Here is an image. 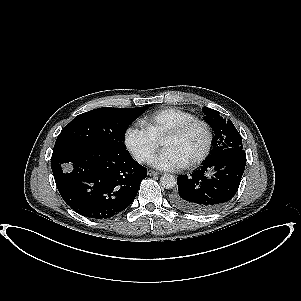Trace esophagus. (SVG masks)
<instances>
[{"label": "esophagus", "instance_id": "34e87169", "mask_svg": "<svg viewBox=\"0 0 301 301\" xmlns=\"http://www.w3.org/2000/svg\"><path fill=\"white\" fill-rule=\"evenodd\" d=\"M148 175L149 176H157V175H160V173L156 172V171H153V170H148Z\"/></svg>", "mask_w": 301, "mask_h": 301}]
</instances>
